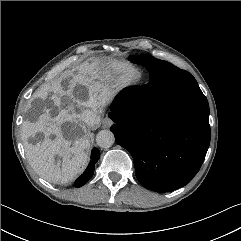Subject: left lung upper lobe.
<instances>
[{"label": "left lung upper lobe", "mask_w": 241, "mask_h": 241, "mask_svg": "<svg viewBox=\"0 0 241 241\" xmlns=\"http://www.w3.org/2000/svg\"><path fill=\"white\" fill-rule=\"evenodd\" d=\"M129 60L144 66L149 71V74H162L167 79L169 89L171 90L170 93L174 96L199 87L197 81L189 72L179 69L169 62L156 59L151 55H132L129 57Z\"/></svg>", "instance_id": "5c2ea615"}]
</instances>
